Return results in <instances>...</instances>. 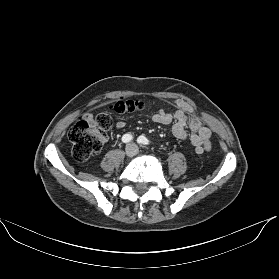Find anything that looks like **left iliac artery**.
I'll return each instance as SVG.
<instances>
[{
    "label": "left iliac artery",
    "instance_id": "left-iliac-artery-1",
    "mask_svg": "<svg viewBox=\"0 0 279 279\" xmlns=\"http://www.w3.org/2000/svg\"><path fill=\"white\" fill-rule=\"evenodd\" d=\"M137 142L140 143V144H144V145L149 144V140L144 136L138 137Z\"/></svg>",
    "mask_w": 279,
    "mask_h": 279
}]
</instances>
